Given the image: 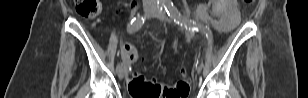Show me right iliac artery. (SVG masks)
<instances>
[{
    "instance_id": "right-iliac-artery-1",
    "label": "right iliac artery",
    "mask_w": 308,
    "mask_h": 98,
    "mask_svg": "<svg viewBox=\"0 0 308 98\" xmlns=\"http://www.w3.org/2000/svg\"><path fill=\"white\" fill-rule=\"evenodd\" d=\"M163 6H164V4H158V8H159L160 10H162ZM145 21H146V17H143V16H141V17H140V16L135 17V18L131 21L130 26L128 27V32H129V33H133V32H135V31L139 30V29L143 26V24H144ZM120 68H121V65L118 64L117 67H116V71L118 72V71L120 70Z\"/></svg>"
}]
</instances>
